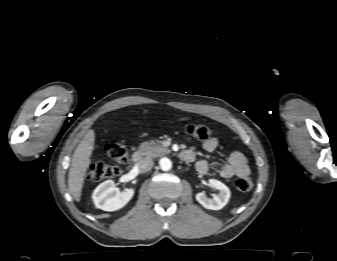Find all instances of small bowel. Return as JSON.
<instances>
[{
    "label": "small bowel",
    "mask_w": 337,
    "mask_h": 261,
    "mask_svg": "<svg viewBox=\"0 0 337 261\" xmlns=\"http://www.w3.org/2000/svg\"><path fill=\"white\" fill-rule=\"evenodd\" d=\"M218 146L217 138L213 137L206 140L203 143V148L207 152H213ZM182 153H185L188 158L185 161L192 162L195 160V152L191 149L184 150ZM196 169L201 174H208L211 172V166L206 160H199L196 163ZM250 173L249 165L247 158L241 152L235 151L228 156L226 163L222 164L218 168V174L222 178H231V177H246Z\"/></svg>",
    "instance_id": "obj_1"
}]
</instances>
